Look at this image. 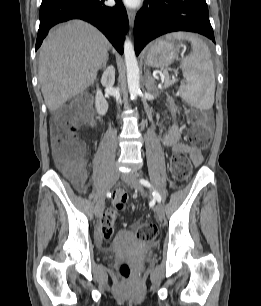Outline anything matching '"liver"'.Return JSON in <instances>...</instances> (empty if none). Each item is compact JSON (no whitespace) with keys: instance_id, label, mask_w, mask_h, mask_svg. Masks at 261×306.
<instances>
[{"instance_id":"6515ba94","label":"liver","mask_w":261,"mask_h":306,"mask_svg":"<svg viewBox=\"0 0 261 306\" xmlns=\"http://www.w3.org/2000/svg\"><path fill=\"white\" fill-rule=\"evenodd\" d=\"M111 45L94 26L80 20L54 29L39 54V83L53 112L94 83Z\"/></svg>"}]
</instances>
